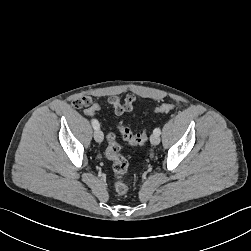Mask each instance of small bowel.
<instances>
[{
  "label": "small bowel",
  "instance_id": "c3829d8e",
  "mask_svg": "<svg viewBox=\"0 0 251 251\" xmlns=\"http://www.w3.org/2000/svg\"><path fill=\"white\" fill-rule=\"evenodd\" d=\"M135 99L136 98L133 94H128L123 103L120 101V99L117 96H111L108 99V102L113 107L116 115L124 116L125 114L133 110ZM93 105H94V102L91 96L77 98L75 101L71 102V107L75 108L76 110H81L84 108L87 109V108L92 107Z\"/></svg>",
  "mask_w": 251,
  "mask_h": 251
}]
</instances>
